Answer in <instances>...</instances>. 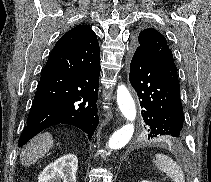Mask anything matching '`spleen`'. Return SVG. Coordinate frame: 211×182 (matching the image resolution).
Returning a JSON list of instances; mask_svg holds the SVG:
<instances>
[{
  "label": "spleen",
  "instance_id": "3e777b00",
  "mask_svg": "<svg viewBox=\"0 0 211 182\" xmlns=\"http://www.w3.org/2000/svg\"><path fill=\"white\" fill-rule=\"evenodd\" d=\"M154 164L158 170L164 172L174 182H185V176L182 169L169 156L156 154Z\"/></svg>",
  "mask_w": 211,
  "mask_h": 182
}]
</instances>
